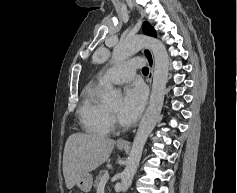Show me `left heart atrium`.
<instances>
[{
	"label": "left heart atrium",
	"mask_w": 237,
	"mask_h": 193,
	"mask_svg": "<svg viewBox=\"0 0 237 193\" xmlns=\"http://www.w3.org/2000/svg\"><path fill=\"white\" fill-rule=\"evenodd\" d=\"M147 99L145 86L140 82L129 85L124 93L119 110V119L126 124L135 122L140 116Z\"/></svg>",
	"instance_id": "39dd6f15"
}]
</instances>
